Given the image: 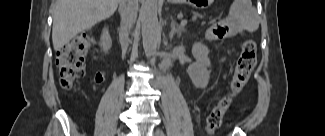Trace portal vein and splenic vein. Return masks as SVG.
<instances>
[{"mask_svg":"<svg viewBox=\"0 0 325 136\" xmlns=\"http://www.w3.org/2000/svg\"><path fill=\"white\" fill-rule=\"evenodd\" d=\"M187 23V21L184 19L181 21V25H185Z\"/></svg>","mask_w":325,"mask_h":136,"instance_id":"portal-vein-and-splenic-vein-1","label":"portal vein and splenic vein"}]
</instances>
